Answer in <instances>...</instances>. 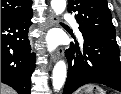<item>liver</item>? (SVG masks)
<instances>
[{
    "label": "liver",
    "instance_id": "6515ba94",
    "mask_svg": "<svg viewBox=\"0 0 121 94\" xmlns=\"http://www.w3.org/2000/svg\"><path fill=\"white\" fill-rule=\"evenodd\" d=\"M1 94H16V92L9 86L1 83Z\"/></svg>",
    "mask_w": 121,
    "mask_h": 94
}]
</instances>
